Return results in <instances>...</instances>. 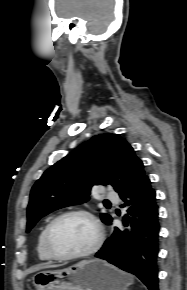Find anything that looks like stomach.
<instances>
[{"mask_svg":"<svg viewBox=\"0 0 187 290\" xmlns=\"http://www.w3.org/2000/svg\"><path fill=\"white\" fill-rule=\"evenodd\" d=\"M131 282L130 275L100 259L33 276L36 290H127Z\"/></svg>","mask_w":187,"mask_h":290,"instance_id":"1","label":"stomach"}]
</instances>
